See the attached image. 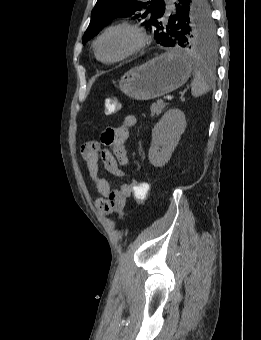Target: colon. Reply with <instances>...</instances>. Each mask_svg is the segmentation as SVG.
<instances>
[{
  "mask_svg": "<svg viewBox=\"0 0 261 340\" xmlns=\"http://www.w3.org/2000/svg\"><path fill=\"white\" fill-rule=\"evenodd\" d=\"M105 113L108 115H113L117 113L119 110V102L118 100L113 97V98H107L105 100ZM131 190H132V195L134 198L140 202L143 203L148 195H149V185L147 183H141L138 181L133 180L130 183Z\"/></svg>",
  "mask_w": 261,
  "mask_h": 340,
  "instance_id": "obj_1",
  "label": "colon"
}]
</instances>
